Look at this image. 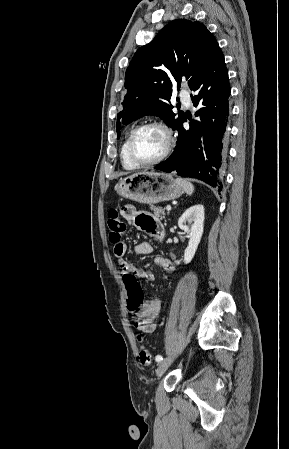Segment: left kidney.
<instances>
[{
	"mask_svg": "<svg viewBox=\"0 0 289 449\" xmlns=\"http://www.w3.org/2000/svg\"><path fill=\"white\" fill-rule=\"evenodd\" d=\"M204 219V206L198 204L188 208L178 220V226L189 236V244L184 252L185 264L191 262L198 248L204 230Z\"/></svg>",
	"mask_w": 289,
	"mask_h": 449,
	"instance_id": "5707ae66",
	"label": "left kidney"
}]
</instances>
